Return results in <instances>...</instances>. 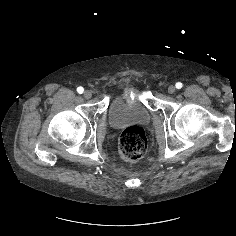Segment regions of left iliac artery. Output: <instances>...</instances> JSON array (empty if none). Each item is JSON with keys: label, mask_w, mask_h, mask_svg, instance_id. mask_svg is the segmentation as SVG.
Masks as SVG:
<instances>
[{"label": "left iliac artery", "mask_w": 236, "mask_h": 236, "mask_svg": "<svg viewBox=\"0 0 236 236\" xmlns=\"http://www.w3.org/2000/svg\"><path fill=\"white\" fill-rule=\"evenodd\" d=\"M175 86L177 89H181L183 84L181 82H177Z\"/></svg>", "instance_id": "1"}]
</instances>
